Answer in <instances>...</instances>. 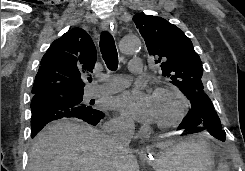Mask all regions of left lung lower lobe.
Wrapping results in <instances>:
<instances>
[{
  "label": "left lung lower lobe",
  "instance_id": "0a47b994",
  "mask_svg": "<svg viewBox=\"0 0 245 171\" xmlns=\"http://www.w3.org/2000/svg\"><path fill=\"white\" fill-rule=\"evenodd\" d=\"M188 99L192 108L177 129L183 130V134L197 133L207 129L213 137L225 141L226 136L220 119L205 92H197Z\"/></svg>",
  "mask_w": 245,
  "mask_h": 171
}]
</instances>
